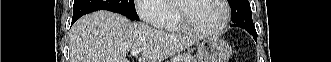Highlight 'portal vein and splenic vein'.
<instances>
[{"label": "portal vein and splenic vein", "instance_id": "18ae733b", "mask_svg": "<svg viewBox=\"0 0 331 62\" xmlns=\"http://www.w3.org/2000/svg\"><path fill=\"white\" fill-rule=\"evenodd\" d=\"M141 51H142V48L132 49L131 54L135 56V55H138ZM177 61H180V60L177 59Z\"/></svg>", "mask_w": 331, "mask_h": 62}]
</instances>
